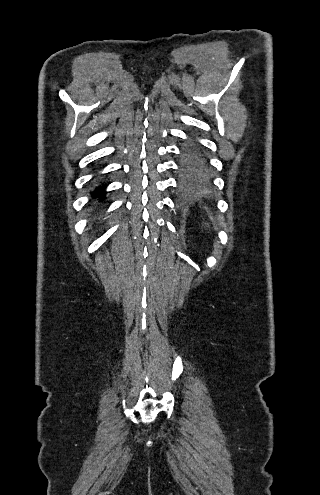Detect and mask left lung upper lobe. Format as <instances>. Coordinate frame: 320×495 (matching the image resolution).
<instances>
[{
  "label": "left lung upper lobe",
  "instance_id": "1",
  "mask_svg": "<svg viewBox=\"0 0 320 495\" xmlns=\"http://www.w3.org/2000/svg\"><path fill=\"white\" fill-rule=\"evenodd\" d=\"M206 165L205 160L199 152L192 146L187 147L183 151V161L181 168L186 173H194Z\"/></svg>",
  "mask_w": 320,
  "mask_h": 495
}]
</instances>
